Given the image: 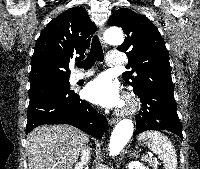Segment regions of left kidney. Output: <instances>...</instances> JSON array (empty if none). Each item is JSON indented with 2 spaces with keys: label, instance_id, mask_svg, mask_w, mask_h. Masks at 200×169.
Instances as JSON below:
<instances>
[{
  "label": "left kidney",
  "instance_id": "left-kidney-1",
  "mask_svg": "<svg viewBox=\"0 0 200 169\" xmlns=\"http://www.w3.org/2000/svg\"><path fill=\"white\" fill-rule=\"evenodd\" d=\"M129 169H148L145 167L141 162L138 161H132L128 164Z\"/></svg>",
  "mask_w": 200,
  "mask_h": 169
}]
</instances>
